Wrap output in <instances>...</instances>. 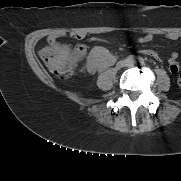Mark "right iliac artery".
<instances>
[{
	"instance_id": "1",
	"label": "right iliac artery",
	"mask_w": 181,
	"mask_h": 181,
	"mask_svg": "<svg viewBox=\"0 0 181 181\" xmlns=\"http://www.w3.org/2000/svg\"><path fill=\"white\" fill-rule=\"evenodd\" d=\"M128 63H134L136 61V57L133 55H129L126 59Z\"/></svg>"
}]
</instances>
